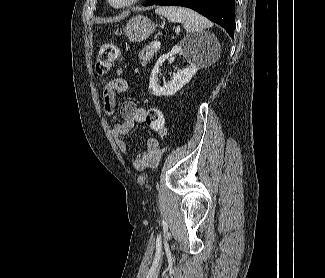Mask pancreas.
Returning a JSON list of instances; mask_svg holds the SVG:
<instances>
[{
  "instance_id": "cf45deb5",
  "label": "pancreas",
  "mask_w": 325,
  "mask_h": 278,
  "mask_svg": "<svg viewBox=\"0 0 325 278\" xmlns=\"http://www.w3.org/2000/svg\"><path fill=\"white\" fill-rule=\"evenodd\" d=\"M159 47L154 48L152 45L145 46L139 53L138 57L141 60L142 65H146L153 56L158 52Z\"/></svg>"
}]
</instances>
